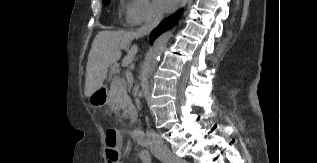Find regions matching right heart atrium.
Instances as JSON below:
<instances>
[{
	"label": "right heart atrium",
	"instance_id": "right-heart-atrium-1",
	"mask_svg": "<svg viewBox=\"0 0 317 163\" xmlns=\"http://www.w3.org/2000/svg\"><path fill=\"white\" fill-rule=\"evenodd\" d=\"M123 15L126 24L138 26L160 17V12L151 0H124Z\"/></svg>",
	"mask_w": 317,
	"mask_h": 163
}]
</instances>
